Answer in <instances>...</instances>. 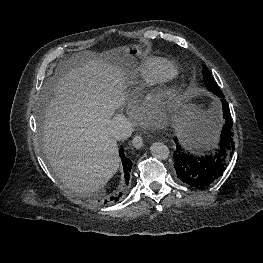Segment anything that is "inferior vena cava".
<instances>
[{
    "instance_id": "inferior-vena-cava-1",
    "label": "inferior vena cava",
    "mask_w": 263,
    "mask_h": 263,
    "mask_svg": "<svg viewBox=\"0 0 263 263\" xmlns=\"http://www.w3.org/2000/svg\"><path fill=\"white\" fill-rule=\"evenodd\" d=\"M106 130L113 139L120 141L130 137L133 128L131 122L126 117L118 115L110 120Z\"/></svg>"
}]
</instances>
